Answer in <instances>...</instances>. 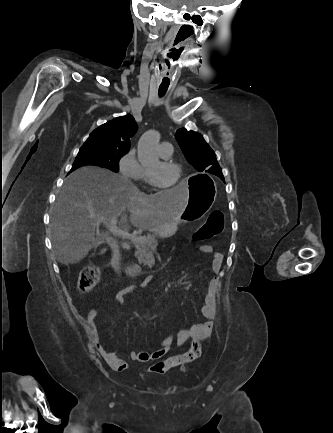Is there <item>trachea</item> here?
<instances>
[{
	"label": "trachea",
	"instance_id": "trachea-1",
	"mask_svg": "<svg viewBox=\"0 0 333 433\" xmlns=\"http://www.w3.org/2000/svg\"><path fill=\"white\" fill-rule=\"evenodd\" d=\"M167 89H168V87L160 86L159 87V96L160 97L163 96L167 92Z\"/></svg>",
	"mask_w": 333,
	"mask_h": 433
}]
</instances>
